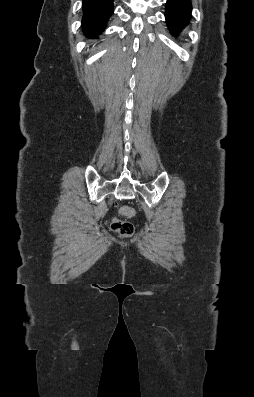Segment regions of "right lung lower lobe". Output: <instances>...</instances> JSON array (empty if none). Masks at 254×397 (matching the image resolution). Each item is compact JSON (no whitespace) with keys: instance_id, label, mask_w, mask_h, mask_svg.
<instances>
[{"instance_id":"98d812e1","label":"right lung lower lobe","mask_w":254,"mask_h":397,"mask_svg":"<svg viewBox=\"0 0 254 397\" xmlns=\"http://www.w3.org/2000/svg\"><path fill=\"white\" fill-rule=\"evenodd\" d=\"M82 29L87 37L94 38L104 31L113 13V0H83Z\"/></svg>"}]
</instances>
